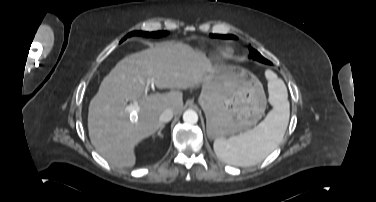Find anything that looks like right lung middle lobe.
I'll return each mask as SVG.
<instances>
[{
    "mask_svg": "<svg viewBox=\"0 0 376 202\" xmlns=\"http://www.w3.org/2000/svg\"><path fill=\"white\" fill-rule=\"evenodd\" d=\"M167 31H157V32H143V31H134L126 35L123 40H125L127 37L133 36V35H140L144 37H161L167 35ZM122 40V41H123Z\"/></svg>",
    "mask_w": 376,
    "mask_h": 202,
    "instance_id": "obj_1",
    "label": "right lung middle lobe"
}]
</instances>
